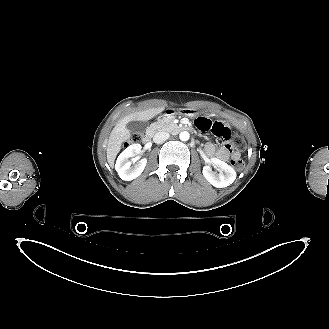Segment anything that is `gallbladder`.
<instances>
[{"mask_svg":"<svg viewBox=\"0 0 329 329\" xmlns=\"http://www.w3.org/2000/svg\"><path fill=\"white\" fill-rule=\"evenodd\" d=\"M126 128L132 133L143 135L148 128V123L134 120L128 122Z\"/></svg>","mask_w":329,"mask_h":329,"instance_id":"obj_1","label":"gallbladder"}]
</instances>
